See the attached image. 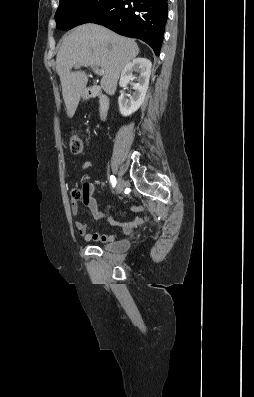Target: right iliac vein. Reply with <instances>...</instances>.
Masks as SVG:
<instances>
[{
  "label": "right iliac vein",
  "mask_w": 254,
  "mask_h": 397,
  "mask_svg": "<svg viewBox=\"0 0 254 397\" xmlns=\"http://www.w3.org/2000/svg\"><path fill=\"white\" fill-rule=\"evenodd\" d=\"M125 182L122 178H119L117 181L116 191L117 193H121L124 189Z\"/></svg>",
  "instance_id": "1"
}]
</instances>
